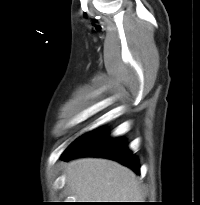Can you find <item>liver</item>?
Segmentation results:
<instances>
[{
    "label": "liver",
    "mask_w": 200,
    "mask_h": 205,
    "mask_svg": "<svg viewBox=\"0 0 200 205\" xmlns=\"http://www.w3.org/2000/svg\"><path fill=\"white\" fill-rule=\"evenodd\" d=\"M63 172L71 194L82 200L80 202H139L136 200L143 199L135 173L115 161L79 158L64 164Z\"/></svg>",
    "instance_id": "liver-1"
}]
</instances>
